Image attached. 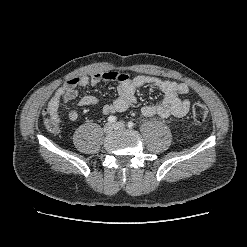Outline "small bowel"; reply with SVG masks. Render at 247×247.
Masks as SVG:
<instances>
[{
  "label": "small bowel",
  "instance_id": "1",
  "mask_svg": "<svg viewBox=\"0 0 247 247\" xmlns=\"http://www.w3.org/2000/svg\"><path fill=\"white\" fill-rule=\"evenodd\" d=\"M103 82H116L118 84V97L113 102L104 105L102 109L105 115L126 111L135 103L136 91L143 86H153L163 93V99L160 103L143 106L142 114L146 117H183L190 107V101L184 98L189 92V86L186 83H177L172 80H162L145 75L130 77L127 73L118 71L98 72L91 76L71 78L56 90L47 106L49 119L55 125V129L50 131H59L61 119L58 110L61 104L77 99L79 88L89 85L95 86ZM97 104L98 100L93 96H85L78 101L79 106H94ZM78 118L77 111L72 110L68 113L70 121L75 122Z\"/></svg>",
  "mask_w": 247,
  "mask_h": 247
}]
</instances>
